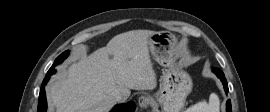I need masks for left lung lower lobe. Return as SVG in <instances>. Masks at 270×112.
<instances>
[{
	"label": "left lung lower lobe",
	"instance_id": "obj_1",
	"mask_svg": "<svg viewBox=\"0 0 270 112\" xmlns=\"http://www.w3.org/2000/svg\"><path fill=\"white\" fill-rule=\"evenodd\" d=\"M213 72L217 75V77L222 81V84L224 85L225 92L227 93L229 91L228 84L226 81V78L224 76V73L220 69H213ZM226 112H231V101L228 100L226 102Z\"/></svg>",
	"mask_w": 270,
	"mask_h": 112
}]
</instances>
